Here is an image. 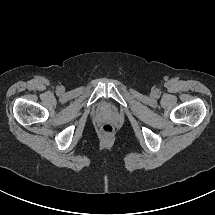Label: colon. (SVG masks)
<instances>
[{"instance_id": "5ec220e1", "label": "colon", "mask_w": 215, "mask_h": 215, "mask_svg": "<svg viewBox=\"0 0 215 215\" xmlns=\"http://www.w3.org/2000/svg\"><path fill=\"white\" fill-rule=\"evenodd\" d=\"M114 131V127L111 124H104L102 126V132L106 135L112 134Z\"/></svg>"}]
</instances>
